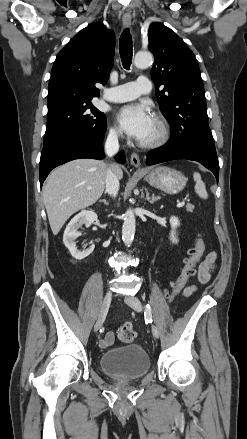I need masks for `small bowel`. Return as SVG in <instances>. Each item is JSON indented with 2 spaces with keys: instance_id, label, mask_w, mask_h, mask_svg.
I'll use <instances>...</instances> for the list:
<instances>
[{
  "instance_id": "obj_1",
  "label": "small bowel",
  "mask_w": 247,
  "mask_h": 439,
  "mask_svg": "<svg viewBox=\"0 0 247 439\" xmlns=\"http://www.w3.org/2000/svg\"><path fill=\"white\" fill-rule=\"evenodd\" d=\"M217 254L216 252H210L206 255V257L201 261L198 266L197 276L201 283H207L211 274L216 266ZM195 291V286H189L185 289L184 294L186 296L192 294ZM114 342V335L111 332L105 334V336L99 341V345L101 348H106L110 346Z\"/></svg>"
}]
</instances>
